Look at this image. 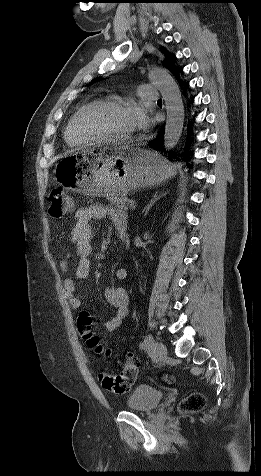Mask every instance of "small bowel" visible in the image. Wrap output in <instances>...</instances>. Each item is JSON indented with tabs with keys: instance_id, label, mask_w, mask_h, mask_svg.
I'll return each mask as SVG.
<instances>
[{
	"instance_id": "small-bowel-1",
	"label": "small bowel",
	"mask_w": 261,
	"mask_h": 476,
	"mask_svg": "<svg viewBox=\"0 0 261 476\" xmlns=\"http://www.w3.org/2000/svg\"><path fill=\"white\" fill-rule=\"evenodd\" d=\"M109 217L120 235H124L127 230V217L118 210L103 206L93 205L79 209L75 214L76 223L70 232L69 241L79 257L77 267L72 275L68 276L63 282L64 294L73 309L82 307V299L76 295V280H82L88 277L91 268L90 254L92 252V239L94 229L92 222L94 220ZM70 247L66 248L64 257L60 260V269L67 273L70 264ZM116 278L123 281L127 278V270L119 268L116 270ZM104 297L107 303L115 308V315L105 323L104 328L107 331H114L120 327L123 320L129 312V296L122 287L110 285L104 290Z\"/></svg>"
}]
</instances>
